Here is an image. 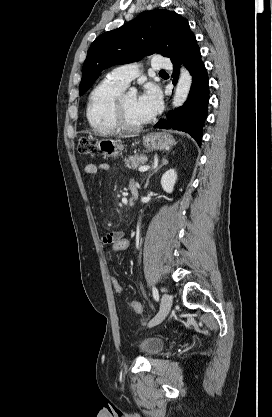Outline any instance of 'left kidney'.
Masks as SVG:
<instances>
[{
    "label": "left kidney",
    "mask_w": 272,
    "mask_h": 417,
    "mask_svg": "<svg viewBox=\"0 0 272 417\" xmlns=\"http://www.w3.org/2000/svg\"><path fill=\"white\" fill-rule=\"evenodd\" d=\"M177 180V173L174 169L166 171L161 178V186L167 193H172Z\"/></svg>",
    "instance_id": "1"
}]
</instances>
